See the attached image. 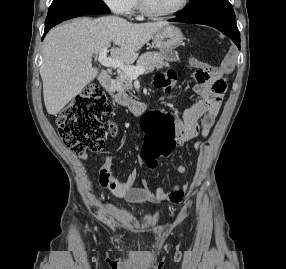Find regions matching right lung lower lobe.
<instances>
[{"mask_svg":"<svg viewBox=\"0 0 286 269\" xmlns=\"http://www.w3.org/2000/svg\"><path fill=\"white\" fill-rule=\"evenodd\" d=\"M52 27H45V30H44V35L42 37V40L43 38L45 37V35L47 34V32L51 29Z\"/></svg>","mask_w":286,"mask_h":269,"instance_id":"98d812e1","label":"right lung lower lobe"}]
</instances>
